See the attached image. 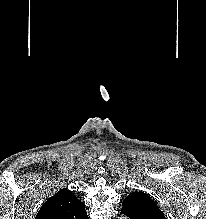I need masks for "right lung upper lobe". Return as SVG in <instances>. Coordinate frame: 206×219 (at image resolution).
<instances>
[{"label":"right lung upper lobe","mask_w":206,"mask_h":219,"mask_svg":"<svg viewBox=\"0 0 206 219\" xmlns=\"http://www.w3.org/2000/svg\"><path fill=\"white\" fill-rule=\"evenodd\" d=\"M35 219H88L85 205L75 195L62 189L42 205Z\"/></svg>","instance_id":"1"}]
</instances>
